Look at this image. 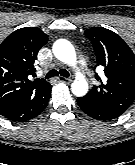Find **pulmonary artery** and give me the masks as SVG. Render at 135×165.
I'll return each instance as SVG.
<instances>
[{"label": "pulmonary artery", "instance_id": "pulmonary-artery-1", "mask_svg": "<svg viewBox=\"0 0 135 165\" xmlns=\"http://www.w3.org/2000/svg\"><path fill=\"white\" fill-rule=\"evenodd\" d=\"M77 65L82 72L89 76L88 69H87V62L83 56H79L77 58Z\"/></svg>", "mask_w": 135, "mask_h": 165}]
</instances>
